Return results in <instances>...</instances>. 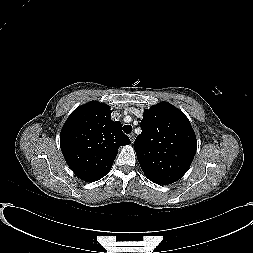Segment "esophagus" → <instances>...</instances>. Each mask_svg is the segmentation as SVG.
<instances>
[{"mask_svg": "<svg viewBox=\"0 0 253 253\" xmlns=\"http://www.w3.org/2000/svg\"><path fill=\"white\" fill-rule=\"evenodd\" d=\"M129 138H130L131 143L133 144L134 139H135L134 133L129 134Z\"/></svg>", "mask_w": 253, "mask_h": 253, "instance_id": "obj_1", "label": "esophagus"}]
</instances>
